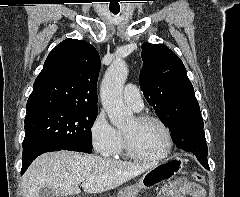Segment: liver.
<instances>
[{"instance_id":"obj_1","label":"liver","mask_w":240,"mask_h":197,"mask_svg":"<svg viewBox=\"0 0 240 197\" xmlns=\"http://www.w3.org/2000/svg\"><path fill=\"white\" fill-rule=\"evenodd\" d=\"M156 165L124 162L74 151L42 154L25 172L23 197H39L42 188L55 195L67 196L81 192L102 193L112 190Z\"/></svg>"}]
</instances>
